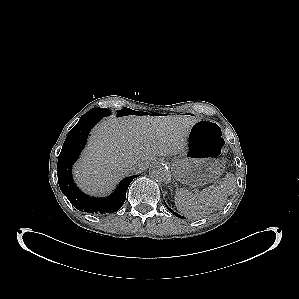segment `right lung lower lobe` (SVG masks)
I'll return each instance as SVG.
<instances>
[{"instance_id": "right-lung-lower-lobe-1", "label": "right lung lower lobe", "mask_w": 299, "mask_h": 299, "mask_svg": "<svg viewBox=\"0 0 299 299\" xmlns=\"http://www.w3.org/2000/svg\"><path fill=\"white\" fill-rule=\"evenodd\" d=\"M101 116L81 118L68 133L58 158L57 173L61 191L79 211L89 213H113L118 211L126 199V191L131 181L138 177L130 176L122 180L116 190L106 198L89 197L82 193L73 181L71 168L86 144L92 127Z\"/></svg>"}]
</instances>
